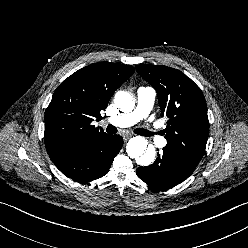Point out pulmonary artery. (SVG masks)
<instances>
[{
    "label": "pulmonary artery",
    "mask_w": 248,
    "mask_h": 248,
    "mask_svg": "<svg viewBox=\"0 0 248 248\" xmlns=\"http://www.w3.org/2000/svg\"><path fill=\"white\" fill-rule=\"evenodd\" d=\"M156 91L152 87H140L137 90V107L128 113H121L106 120L107 123L117 127H128L139 121H144V128L150 133L158 144L164 146L166 141L158 135L147 117L153 107Z\"/></svg>",
    "instance_id": "1"
}]
</instances>
